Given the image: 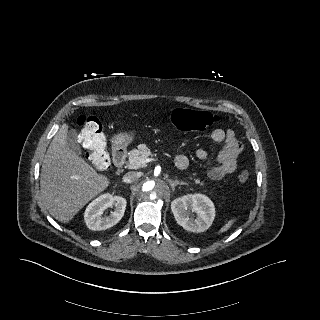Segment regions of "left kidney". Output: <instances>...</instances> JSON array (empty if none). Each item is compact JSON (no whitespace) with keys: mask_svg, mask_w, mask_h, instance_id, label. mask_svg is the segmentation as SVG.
<instances>
[{"mask_svg":"<svg viewBox=\"0 0 320 320\" xmlns=\"http://www.w3.org/2000/svg\"><path fill=\"white\" fill-rule=\"evenodd\" d=\"M171 210L177 223L191 232L206 231L215 217L213 202L202 194H188L175 199L171 203Z\"/></svg>","mask_w":320,"mask_h":320,"instance_id":"left-kidney-1","label":"left kidney"}]
</instances>
